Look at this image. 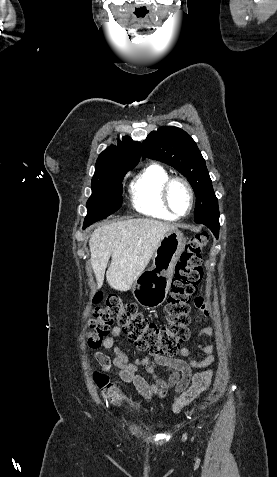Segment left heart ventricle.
<instances>
[{"label":"left heart ventricle","instance_id":"1","mask_svg":"<svg viewBox=\"0 0 277 477\" xmlns=\"http://www.w3.org/2000/svg\"><path fill=\"white\" fill-rule=\"evenodd\" d=\"M170 202L174 210L179 214H185L188 211L190 199L186 187L179 182L172 185L170 189Z\"/></svg>","mask_w":277,"mask_h":477}]
</instances>
